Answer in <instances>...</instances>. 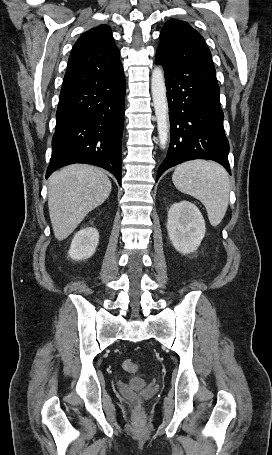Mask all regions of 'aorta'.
<instances>
[{
    "label": "aorta",
    "mask_w": 272,
    "mask_h": 455,
    "mask_svg": "<svg viewBox=\"0 0 272 455\" xmlns=\"http://www.w3.org/2000/svg\"><path fill=\"white\" fill-rule=\"evenodd\" d=\"M151 93L157 120L159 143L161 148L164 149L169 135V116L164 72L159 66L152 71Z\"/></svg>",
    "instance_id": "762f6f07"
}]
</instances>
